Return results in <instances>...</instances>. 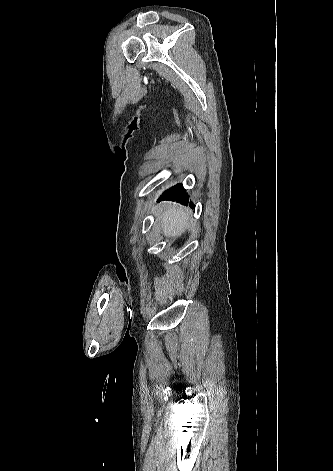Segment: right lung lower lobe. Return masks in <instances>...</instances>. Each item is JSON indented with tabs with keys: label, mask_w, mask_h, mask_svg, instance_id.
Wrapping results in <instances>:
<instances>
[{
	"label": "right lung lower lobe",
	"mask_w": 333,
	"mask_h": 471,
	"mask_svg": "<svg viewBox=\"0 0 333 471\" xmlns=\"http://www.w3.org/2000/svg\"><path fill=\"white\" fill-rule=\"evenodd\" d=\"M162 199L176 201L184 205H187L189 203L188 194L186 193L182 184H177L171 187L170 189L166 190L159 198V201ZM190 206L192 208L195 207L192 202H190Z\"/></svg>",
	"instance_id": "1"
}]
</instances>
